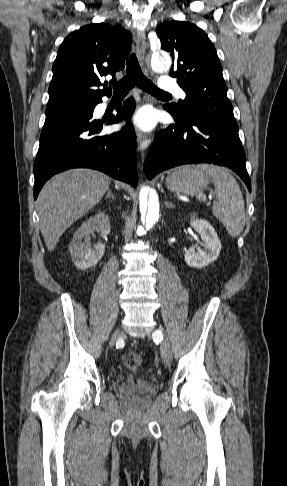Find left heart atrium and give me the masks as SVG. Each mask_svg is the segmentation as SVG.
Returning a JSON list of instances; mask_svg holds the SVG:
<instances>
[{
	"mask_svg": "<svg viewBox=\"0 0 287 486\" xmlns=\"http://www.w3.org/2000/svg\"><path fill=\"white\" fill-rule=\"evenodd\" d=\"M134 122L143 129H150L154 125V116L148 110H141L135 115Z\"/></svg>",
	"mask_w": 287,
	"mask_h": 486,
	"instance_id": "39dd6f15",
	"label": "left heart atrium"
}]
</instances>
